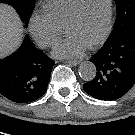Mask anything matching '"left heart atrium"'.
<instances>
[{"instance_id": "obj_1", "label": "left heart atrium", "mask_w": 135, "mask_h": 135, "mask_svg": "<svg viewBox=\"0 0 135 135\" xmlns=\"http://www.w3.org/2000/svg\"><path fill=\"white\" fill-rule=\"evenodd\" d=\"M87 44L73 35H66V37L56 46L53 55L57 58H71L81 56Z\"/></svg>"}]
</instances>
